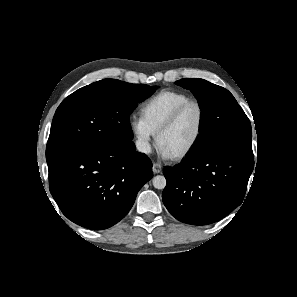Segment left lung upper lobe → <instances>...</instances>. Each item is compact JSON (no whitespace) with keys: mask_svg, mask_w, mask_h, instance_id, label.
I'll return each instance as SVG.
<instances>
[{"mask_svg":"<svg viewBox=\"0 0 297 297\" xmlns=\"http://www.w3.org/2000/svg\"><path fill=\"white\" fill-rule=\"evenodd\" d=\"M175 83L190 90L201 109L200 136L187 157L213 150L253 157L250 121L228 90L196 78L181 79Z\"/></svg>","mask_w":297,"mask_h":297,"instance_id":"1","label":"left lung upper lobe"}]
</instances>
